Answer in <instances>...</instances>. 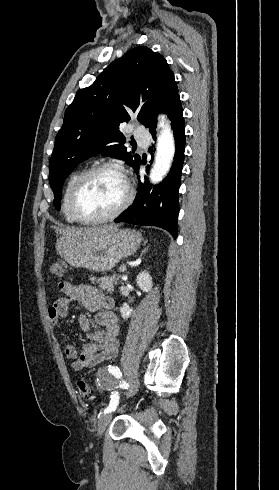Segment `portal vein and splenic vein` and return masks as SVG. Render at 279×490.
<instances>
[{"mask_svg":"<svg viewBox=\"0 0 279 490\" xmlns=\"http://www.w3.org/2000/svg\"><path fill=\"white\" fill-rule=\"evenodd\" d=\"M120 272H125L126 268L125 266H121V268H119Z\"/></svg>","mask_w":279,"mask_h":490,"instance_id":"18ae733b","label":"portal vein and splenic vein"}]
</instances>
